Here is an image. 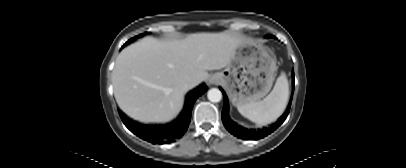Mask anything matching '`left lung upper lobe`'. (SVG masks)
Listing matches in <instances>:
<instances>
[{
	"instance_id": "5c2ea615",
	"label": "left lung upper lobe",
	"mask_w": 406,
	"mask_h": 168,
	"mask_svg": "<svg viewBox=\"0 0 406 168\" xmlns=\"http://www.w3.org/2000/svg\"><path fill=\"white\" fill-rule=\"evenodd\" d=\"M268 37H269V38H271V37H274V36H272V35H269Z\"/></svg>"
}]
</instances>
